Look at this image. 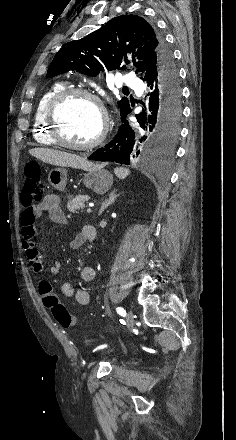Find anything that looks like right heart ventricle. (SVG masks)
<instances>
[{
	"label": "right heart ventricle",
	"mask_w": 236,
	"mask_h": 440,
	"mask_svg": "<svg viewBox=\"0 0 236 440\" xmlns=\"http://www.w3.org/2000/svg\"><path fill=\"white\" fill-rule=\"evenodd\" d=\"M64 88L63 82H55L39 98L33 115V137L34 140L44 146H56L51 138L45 122V110L52 96Z\"/></svg>",
	"instance_id": "right-heart-ventricle-1"
}]
</instances>
